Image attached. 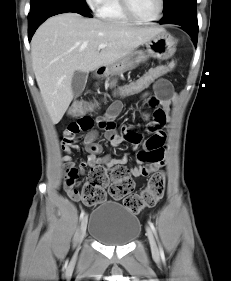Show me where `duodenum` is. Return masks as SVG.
<instances>
[{
	"instance_id": "obj_1",
	"label": "duodenum",
	"mask_w": 231,
	"mask_h": 281,
	"mask_svg": "<svg viewBox=\"0 0 231 281\" xmlns=\"http://www.w3.org/2000/svg\"><path fill=\"white\" fill-rule=\"evenodd\" d=\"M104 72H105V68L104 67H98V68L95 69L94 75L96 77H100V76H102L104 74Z\"/></svg>"
}]
</instances>
